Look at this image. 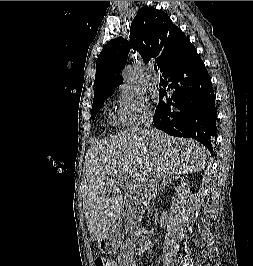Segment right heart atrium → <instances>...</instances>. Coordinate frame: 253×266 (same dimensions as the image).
I'll list each match as a JSON object with an SVG mask.
<instances>
[{"label": "right heart atrium", "mask_w": 253, "mask_h": 266, "mask_svg": "<svg viewBox=\"0 0 253 266\" xmlns=\"http://www.w3.org/2000/svg\"><path fill=\"white\" fill-rule=\"evenodd\" d=\"M119 117L125 125H134L149 119L152 114L146 93L135 86L124 85L120 88Z\"/></svg>", "instance_id": "right-heart-atrium-1"}]
</instances>
